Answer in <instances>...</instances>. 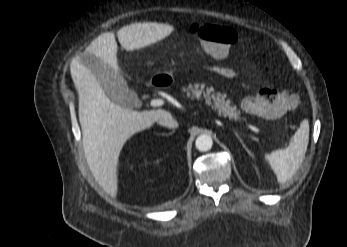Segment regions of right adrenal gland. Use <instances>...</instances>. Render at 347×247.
Instances as JSON below:
<instances>
[{
	"instance_id": "obj_1",
	"label": "right adrenal gland",
	"mask_w": 347,
	"mask_h": 247,
	"mask_svg": "<svg viewBox=\"0 0 347 247\" xmlns=\"http://www.w3.org/2000/svg\"><path fill=\"white\" fill-rule=\"evenodd\" d=\"M173 132H171V133H168V134H165V133H163V134H160V135H162V136H168V135H171ZM158 135V134H157Z\"/></svg>"
}]
</instances>
